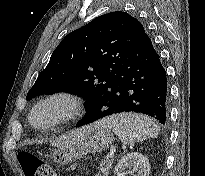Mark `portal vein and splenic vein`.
<instances>
[{"instance_id": "obj_1", "label": "portal vein and splenic vein", "mask_w": 205, "mask_h": 176, "mask_svg": "<svg viewBox=\"0 0 205 176\" xmlns=\"http://www.w3.org/2000/svg\"><path fill=\"white\" fill-rule=\"evenodd\" d=\"M108 156L112 158L114 156V149H111L110 152L108 153Z\"/></svg>"}]
</instances>
